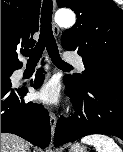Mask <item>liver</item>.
I'll use <instances>...</instances> for the list:
<instances>
[{"label": "liver", "instance_id": "1", "mask_svg": "<svg viewBox=\"0 0 123 152\" xmlns=\"http://www.w3.org/2000/svg\"><path fill=\"white\" fill-rule=\"evenodd\" d=\"M29 143L21 137L9 134L1 133V152H28Z\"/></svg>", "mask_w": 123, "mask_h": 152}]
</instances>
